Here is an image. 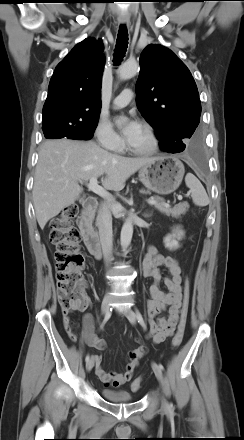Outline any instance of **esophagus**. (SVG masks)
I'll use <instances>...</instances> for the list:
<instances>
[{"label":"esophagus","mask_w":244,"mask_h":440,"mask_svg":"<svg viewBox=\"0 0 244 440\" xmlns=\"http://www.w3.org/2000/svg\"><path fill=\"white\" fill-rule=\"evenodd\" d=\"M119 23L129 25L130 21L128 18H120Z\"/></svg>","instance_id":"1"}]
</instances>
